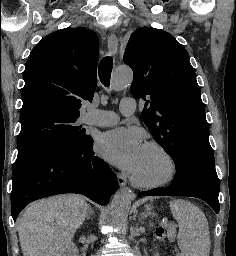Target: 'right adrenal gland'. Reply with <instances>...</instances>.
<instances>
[{"label":"right adrenal gland","instance_id":"right-adrenal-gland-1","mask_svg":"<svg viewBox=\"0 0 236 256\" xmlns=\"http://www.w3.org/2000/svg\"><path fill=\"white\" fill-rule=\"evenodd\" d=\"M90 208H91V206H90ZM89 214H92V216H94V212H93V210H89V212H88V216H87V220H90V216H89Z\"/></svg>","mask_w":236,"mask_h":256}]
</instances>
